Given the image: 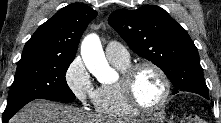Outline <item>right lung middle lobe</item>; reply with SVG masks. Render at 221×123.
<instances>
[{"label":"right lung middle lobe","mask_w":221,"mask_h":123,"mask_svg":"<svg viewBox=\"0 0 221 123\" xmlns=\"http://www.w3.org/2000/svg\"><path fill=\"white\" fill-rule=\"evenodd\" d=\"M75 56L43 54L22 55L3 115L13 116L35 99L73 100L75 95L66 83V71Z\"/></svg>","instance_id":"dd1d6c3e"}]
</instances>
